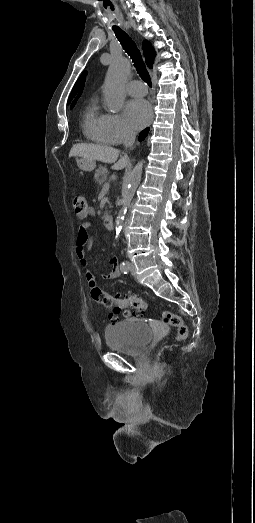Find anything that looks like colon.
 <instances>
[{
	"instance_id": "1",
	"label": "colon",
	"mask_w": 255,
	"mask_h": 523,
	"mask_svg": "<svg viewBox=\"0 0 255 523\" xmlns=\"http://www.w3.org/2000/svg\"><path fill=\"white\" fill-rule=\"evenodd\" d=\"M72 204L77 213H83L88 209L86 198L79 193H75L72 196ZM89 288L92 299L106 308L114 309L115 311L130 308L135 314L144 313L147 309V303L141 298L134 295H112L106 293L96 285L93 279L89 280ZM129 315V312L125 313L126 317ZM161 320L164 324L176 329L178 340H184L187 337V326L179 315L170 311H163Z\"/></svg>"
}]
</instances>
